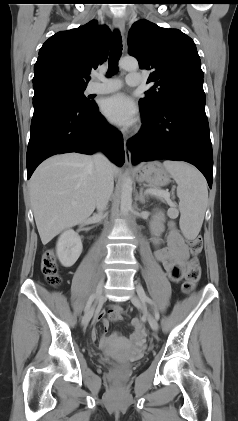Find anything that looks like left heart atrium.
Instances as JSON below:
<instances>
[{
    "label": "left heart atrium",
    "instance_id": "39dd6f15",
    "mask_svg": "<svg viewBox=\"0 0 238 421\" xmlns=\"http://www.w3.org/2000/svg\"><path fill=\"white\" fill-rule=\"evenodd\" d=\"M101 110L109 121L117 125L129 126L136 120V107L133 101L123 93L106 98Z\"/></svg>",
    "mask_w": 238,
    "mask_h": 421
}]
</instances>
